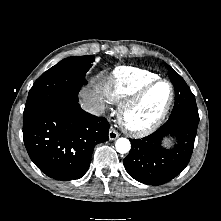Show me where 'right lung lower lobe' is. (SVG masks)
Instances as JSON below:
<instances>
[{"mask_svg":"<svg viewBox=\"0 0 221 221\" xmlns=\"http://www.w3.org/2000/svg\"><path fill=\"white\" fill-rule=\"evenodd\" d=\"M104 117L81 109L77 100L56 104L23 125V139L34 164L57 180L81 178L94 146L109 139Z\"/></svg>","mask_w":221,"mask_h":221,"instance_id":"98d812e1","label":"right lung lower lobe"}]
</instances>
